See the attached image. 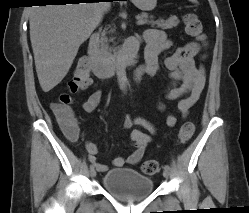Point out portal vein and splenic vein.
<instances>
[{"instance_id": "portal-vein-and-splenic-vein-1", "label": "portal vein and splenic vein", "mask_w": 249, "mask_h": 213, "mask_svg": "<svg viewBox=\"0 0 249 213\" xmlns=\"http://www.w3.org/2000/svg\"><path fill=\"white\" fill-rule=\"evenodd\" d=\"M145 23H147V20H144V19H138V21H137V24L138 25H143V24H145Z\"/></svg>"}]
</instances>
